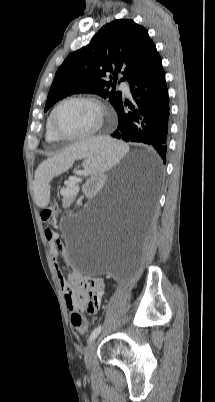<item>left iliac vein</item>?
<instances>
[{"instance_id":"1","label":"left iliac vein","mask_w":215,"mask_h":402,"mask_svg":"<svg viewBox=\"0 0 215 402\" xmlns=\"http://www.w3.org/2000/svg\"><path fill=\"white\" fill-rule=\"evenodd\" d=\"M97 344H98V339L95 338L88 344V346L86 348L84 361H85V364L87 367L91 366L92 358H93L94 352L96 350Z\"/></svg>"}]
</instances>
